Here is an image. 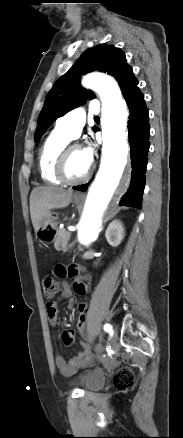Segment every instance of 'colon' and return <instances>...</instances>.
Returning <instances> with one entry per match:
<instances>
[{
  "instance_id": "5ec220e1",
  "label": "colon",
  "mask_w": 183,
  "mask_h": 438,
  "mask_svg": "<svg viewBox=\"0 0 183 438\" xmlns=\"http://www.w3.org/2000/svg\"><path fill=\"white\" fill-rule=\"evenodd\" d=\"M42 288L44 296L47 300H52L60 290L59 282L51 277L46 276L42 280ZM87 303L82 302L78 307L77 329L79 333L85 337V329L87 324ZM135 378L132 370L129 367H121L114 375L113 382L118 389H128L134 384Z\"/></svg>"
}]
</instances>
